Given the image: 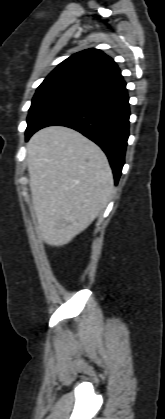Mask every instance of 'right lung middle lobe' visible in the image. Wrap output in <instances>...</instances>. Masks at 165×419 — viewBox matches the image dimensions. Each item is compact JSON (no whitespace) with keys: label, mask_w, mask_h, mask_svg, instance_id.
<instances>
[{"label":"right lung middle lobe","mask_w":165,"mask_h":419,"mask_svg":"<svg viewBox=\"0 0 165 419\" xmlns=\"http://www.w3.org/2000/svg\"><path fill=\"white\" fill-rule=\"evenodd\" d=\"M83 94L60 87L37 89L29 109L26 137L49 113L77 99Z\"/></svg>","instance_id":"dd1d6c3e"}]
</instances>
